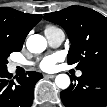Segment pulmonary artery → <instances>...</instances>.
<instances>
[{
	"mask_svg": "<svg viewBox=\"0 0 107 107\" xmlns=\"http://www.w3.org/2000/svg\"><path fill=\"white\" fill-rule=\"evenodd\" d=\"M45 36L49 44L54 47L59 46L65 38L64 32L60 29L55 30L53 32H45ZM11 66L14 69L17 66H19V63H13ZM81 75H82L81 71L77 72V76H81Z\"/></svg>",
	"mask_w": 107,
	"mask_h": 107,
	"instance_id": "1",
	"label": "pulmonary artery"
}]
</instances>
